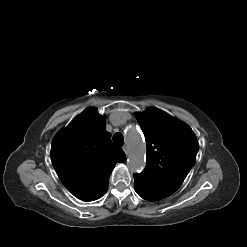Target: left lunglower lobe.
I'll use <instances>...</instances> for the list:
<instances>
[{"mask_svg":"<svg viewBox=\"0 0 247 247\" xmlns=\"http://www.w3.org/2000/svg\"><path fill=\"white\" fill-rule=\"evenodd\" d=\"M134 188L136 193L143 199L149 201H158L163 199L161 195L148 189L139 179L134 177Z\"/></svg>","mask_w":247,"mask_h":247,"instance_id":"0a47b994","label":"left lung lower lobe"}]
</instances>
